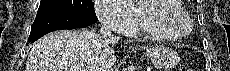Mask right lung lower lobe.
<instances>
[{
  "label": "right lung lower lobe",
  "mask_w": 230,
  "mask_h": 71,
  "mask_svg": "<svg viewBox=\"0 0 230 71\" xmlns=\"http://www.w3.org/2000/svg\"><path fill=\"white\" fill-rule=\"evenodd\" d=\"M97 20L98 19L94 17L73 13L37 15L31 27L28 42L32 43L45 34L55 30L85 27L95 23Z\"/></svg>",
  "instance_id": "obj_1"
}]
</instances>
